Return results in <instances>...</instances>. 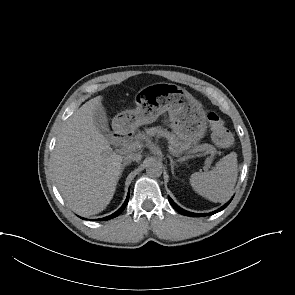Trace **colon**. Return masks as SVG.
Here are the masks:
<instances>
[{
	"mask_svg": "<svg viewBox=\"0 0 295 295\" xmlns=\"http://www.w3.org/2000/svg\"><path fill=\"white\" fill-rule=\"evenodd\" d=\"M207 121L214 143L221 148H229L233 144V136L222 118L212 111L207 114Z\"/></svg>",
	"mask_w": 295,
	"mask_h": 295,
	"instance_id": "5ec220e1",
	"label": "colon"
}]
</instances>
